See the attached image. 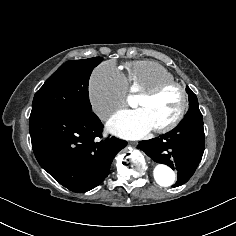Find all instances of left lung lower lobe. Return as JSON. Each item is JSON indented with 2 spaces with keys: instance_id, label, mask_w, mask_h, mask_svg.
Wrapping results in <instances>:
<instances>
[{
  "instance_id": "obj_1",
  "label": "left lung lower lobe",
  "mask_w": 236,
  "mask_h": 236,
  "mask_svg": "<svg viewBox=\"0 0 236 236\" xmlns=\"http://www.w3.org/2000/svg\"><path fill=\"white\" fill-rule=\"evenodd\" d=\"M202 118L183 119L173 130L151 140L140 141L138 148L157 163L177 170L173 187L186 183L194 174L204 152Z\"/></svg>"
}]
</instances>
